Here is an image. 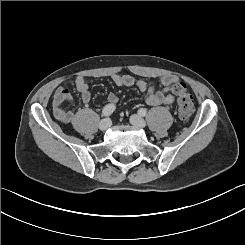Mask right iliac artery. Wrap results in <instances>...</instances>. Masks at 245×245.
Wrapping results in <instances>:
<instances>
[{
	"instance_id": "right-iliac-artery-1",
	"label": "right iliac artery",
	"mask_w": 245,
	"mask_h": 245,
	"mask_svg": "<svg viewBox=\"0 0 245 245\" xmlns=\"http://www.w3.org/2000/svg\"><path fill=\"white\" fill-rule=\"evenodd\" d=\"M115 110V106L113 104H108L103 108L102 114L105 117L110 116Z\"/></svg>"
}]
</instances>
